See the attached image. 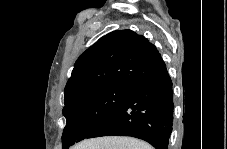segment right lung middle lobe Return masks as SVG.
Returning <instances> with one entry per match:
<instances>
[{
  "label": "right lung middle lobe",
  "mask_w": 227,
  "mask_h": 149,
  "mask_svg": "<svg viewBox=\"0 0 227 149\" xmlns=\"http://www.w3.org/2000/svg\"><path fill=\"white\" fill-rule=\"evenodd\" d=\"M131 91L129 86L107 85L82 95L63 108L66 118L63 149L86 139L126 101Z\"/></svg>",
  "instance_id": "dd1d6c3e"
}]
</instances>
